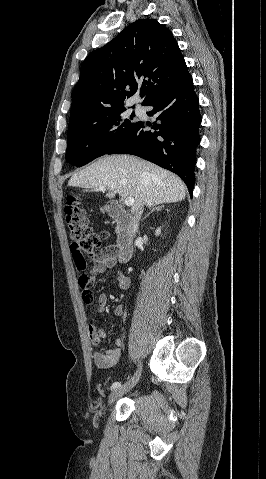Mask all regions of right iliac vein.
<instances>
[{"label": "right iliac vein", "mask_w": 266, "mask_h": 479, "mask_svg": "<svg viewBox=\"0 0 266 479\" xmlns=\"http://www.w3.org/2000/svg\"><path fill=\"white\" fill-rule=\"evenodd\" d=\"M141 368L136 372V374L129 380L127 381L123 386H120L114 390H112L111 394L109 395L108 398V404H112L114 401H116L118 398H120L122 395L130 391L135 384L137 383L139 376H140Z\"/></svg>", "instance_id": "obj_1"}]
</instances>
